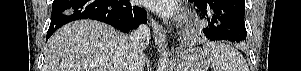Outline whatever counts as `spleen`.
<instances>
[{
    "label": "spleen",
    "mask_w": 301,
    "mask_h": 71,
    "mask_svg": "<svg viewBox=\"0 0 301 71\" xmlns=\"http://www.w3.org/2000/svg\"><path fill=\"white\" fill-rule=\"evenodd\" d=\"M203 50L212 62V71H249L243 55L230 45L207 42Z\"/></svg>",
    "instance_id": "3e777b00"
}]
</instances>
